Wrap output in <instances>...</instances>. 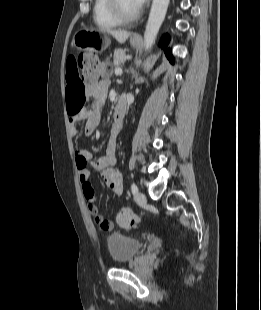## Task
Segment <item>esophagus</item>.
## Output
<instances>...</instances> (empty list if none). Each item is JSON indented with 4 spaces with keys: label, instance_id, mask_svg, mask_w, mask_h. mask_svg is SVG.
<instances>
[{
    "label": "esophagus",
    "instance_id": "34e87169",
    "mask_svg": "<svg viewBox=\"0 0 261 310\" xmlns=\"http://www.w3.org/2000/svg\"><path fill=\"white\" fill-rule=\"evenodd\" d=\"M133 38H134V39H139V37H138V36H134Z\"/></svg>",
    "mask_w": 261,
    "mask_h": 310
}]
</instances>
